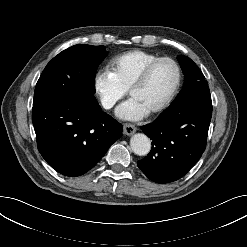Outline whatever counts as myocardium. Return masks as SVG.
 Listing matches in <instances>:
<instances>
[{
	"mask_svg": "<svg viewBox=\"0 0 247 247\" xmlns=\"http://www.w3.org/2000/svg\"><path fill=\"white\" fill-rule=\"evenodd\" d=\"M161 62H169L174 66L176 78H175L174 85H173L172 89L170 90V92L168 93V95L165 97V99L162 102H160L157 106H155L154 108H152L150 110L151 113H158V112L162 111L163 109H165L171 103V101L174 99V97L176 96V94L180 88L181 79H182V73H181V68H180L179 64L174 59H172L170 57H158V58L154 59L153 61H151L150 63H148L143 68V70L135 78V80L132 82L131 86L128 89L129 95H131L133 93V91H135L136 89H138L139 87L144 85L145 82L147 81L149 75L151 74L152 70L155 68L156 65H158Z\"/></svg>",
	"mask_w": 247,
	"mask_h": 247,
	"instance_id": "1",
	"label": "myocardium"
}]
</instances>
